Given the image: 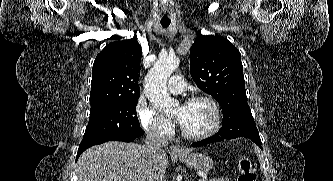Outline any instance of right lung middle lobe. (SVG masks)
<instances>
[{
	"label": "right lung middle lobe",
	"mask_w": 333,
	"mask_h": 181,
	"mask_svg": "<svg viewBox=\"0 0 333 181\" xmlns=\"http://www.w3.org/2000/svg\"><path fill=\"white\" fill-rule=\"evenodd\" d=\"M138 98L92 107L81 144L98 140L139 137L144 134L136 116Z\"/></svg>",
	"instance_id": "dd1d6c3e"
}]
</instances>
